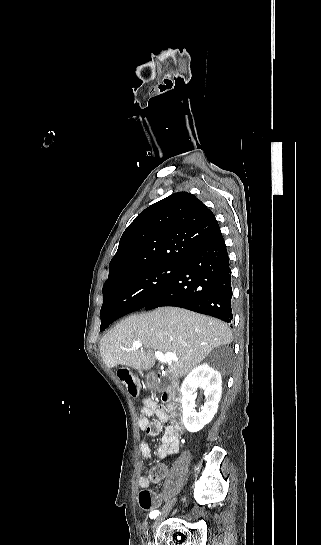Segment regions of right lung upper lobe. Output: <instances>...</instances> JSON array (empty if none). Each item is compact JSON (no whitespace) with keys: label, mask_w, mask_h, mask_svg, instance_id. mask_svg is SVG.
<instances>
[{"label":"right lung upper lobe","mask_w":321,"mask_h":545,"mask_svg":"<svg viewBox=\"0 0 321 545\" xmlns=\"http://www.w3.org/2000/svg\"><path fill=\"white\" fill-rule=\"evenodd\" d=\"M219 229L212 211L195 195L172 194L142 211L124 231L103 288L157 265H182Z\"/></svg>","instance_id":"obj_1"}]
</instances>
